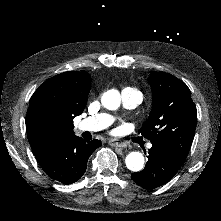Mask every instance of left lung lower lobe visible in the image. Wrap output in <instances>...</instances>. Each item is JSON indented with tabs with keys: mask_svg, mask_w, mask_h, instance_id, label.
<instances>
[{
	"mask_svg": "<svg viewBox=\"0 0 221 221\" xmlns=\"http://www.w3.org/2000/svg\"><path fill=\"white\" fill-rule=\"evenodd\" d=\"M148 153V162L145 168L131 175L135 183L148 190L170 181L185 161L180 159L170 148L159 143H152Z\"/></svg>",
	"mask_w": 221,
	"mask_h": 221,
	"instance_id": "obj_1",
	"label": "left lung lower lobe"
}]
</instances>
